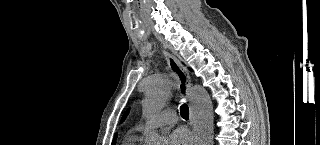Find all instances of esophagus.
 I'll list each match as a JSON object with an SVG mask.
<instances>
[{
    "instance_id": "34e87169",
    "label": "esophagus",
    "mask_w": 320,
    "mask_h": 145,
    "mask_svg": "<svg viewBox=\"0 0 320 145\" xmlns=\"http://www.w3.org/2000/svg\"><path fill=\"white\" fill-rule=\"evenodd\" d=\"M164 55L167 59V63L170 70L172 71V73L177 79L178 89L180 93L182 95H185V97L189 100L190 125L192 126L193 111H192V105L190 102V89H191L190 75L174 55L166 51H164Z\"/></svg>"
}]
</instances>
